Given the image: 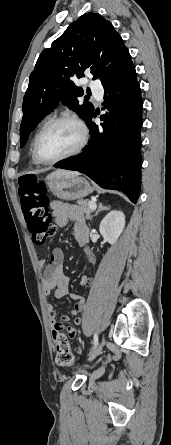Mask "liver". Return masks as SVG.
<instances>
[{
    "instance_id": "liver-1",
    "label": "liver",
    "mask_w": 171,
    "mask_h": 445,
    "mask_svg": "<svg viewBox=\"0 0 171 445\" xmlns=\"http://www.w3.org/2000/svg\"><path fill=\"white\" fill-rule=\"evenodd\" d=\"M51 175H56V176H77L78 172L57 170V171L53 172Z\"/></svg>"
}]
</instances>
